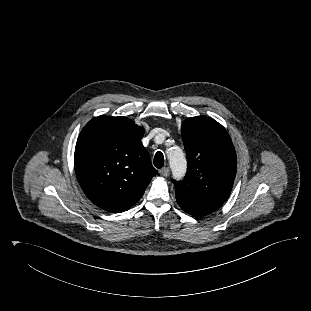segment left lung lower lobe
Listing matches in <instances>:
<instances>
[{
    "label": "left lung lower lobe",
    "instance_id": "0a47b994",
    "mask_svg": "<svg viewBox=\"0 0 311 311\" xmlns=\"http://www.w3.org/2000/svg\"><path fill=\"white\" fill-rule=\"evenodd\" d=\"M176 200L179 206L187 213L193 216L208 215L218 208L221 204L212 201H207L201 198L194 197L184 191L175 188Z\"/></svg>",
    "mask_w": 311,
    "mask_h": 311
}]
</instances>
